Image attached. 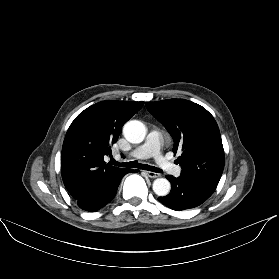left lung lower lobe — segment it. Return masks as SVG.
<instances>
[{
    "label": "left lung lower lobe",
    "instance_id": "obj_1",
    "mask_svg": "<svg viewBox=\"0 0 279 279\" xmlns=\"http://www.w3.org/2000/svg\"><path fill=\"white\" fill-rule=\"evenodd\" d=\"M166 177L172 184L171 193L158 199L173 210L181 211L197 207L213 193L202 185L181 176L175 178L168 175Z\"/></svg>",
    "mask_w": 279,
    "mask_h": 279
}]
</instances>
